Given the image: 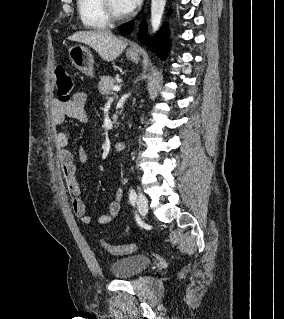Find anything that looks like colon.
I'll use <instances>...</instances> for the list:
<instances>
[{"instance_id": "obj_1", "label": "colon", "mask_w": 284, "mask_h": 319, "mask_svg": "<svg viewBox=\"0 0 284 319\" xmlns=\"http://www.w3.org/2000/svg\"><path fill=\"white\" fill-rule=\"evenodd\" d=\"M56 74V95L61 103L70 101L73 89L72 77L65 65H59L55 71ZM101 246L113 255H125L132 253L136 249L135 243L122 246H113L105 241L100 242Z\"/></svg>"}]
</instances>
